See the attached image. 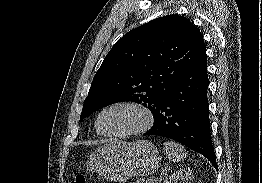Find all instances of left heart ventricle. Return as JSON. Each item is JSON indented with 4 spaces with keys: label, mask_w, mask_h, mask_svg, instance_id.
Listing matches in <instances>:
<instances>
[{
    "label": "left heart ventricle",
    "mask_w": 262,
    "mask_h": 183,
    "mask_svg": "<svg viewBox=\"0 0 262 183\" xmlns=\"http://www.w3.org/2000/svg\"><path fill=\"white\" fill-rule=\"evenodd\" d=\"M144 123L143 114L131 107H118L103 114L101 128L111 134L124 133L140 127Z\"/></svg>",
    "instance_id": "obj_1"
}]
</instances>
